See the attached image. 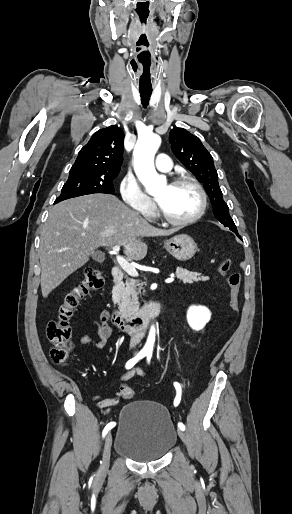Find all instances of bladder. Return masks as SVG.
I'll use <instances>...</instances> for the list:
<instances>
[{"mask_svg": "<svg viewBox=\"0 0 292 514\" xmlns=\"http://www.w3.org/2000/svg\"><path fill=\"white\" fill-rule=\"evenodd\" d=\"M176 441L175 426L163 405L137 400L122 407L114 443L118 456L140 463L158 461Z\"/></svg>", "mask_w": 292, "mask_h": 514, "instance_id": "31cf9c89", "label": "bladder"}]
</instances>
